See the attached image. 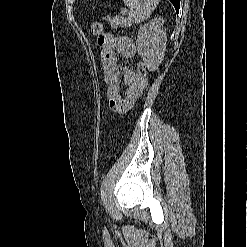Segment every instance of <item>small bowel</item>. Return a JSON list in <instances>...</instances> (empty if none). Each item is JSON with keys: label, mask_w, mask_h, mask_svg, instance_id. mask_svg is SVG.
<instances>
[{"label": "small bowel", "mask_w": 248, "mask_h": 247, "mask_svg": "<svg viewBox=\"0 0 248 247\" xmlns=\"http://www.w3.org/2000/svg\"><path fill=\"white\" fill-rule=\"evenodd\" d=\"M101 50L103 80L107 85L109 108L119 113L128 112L142 95L144 88L140 85L137 73L129 66L120 67L117 54L125 58H132L136 54V47L128 37H114L103 34L97 40ZM126 85L124 92L121 82Z\"/></svg>", "instance_id": "small-bowel-1"}]
</instances>
